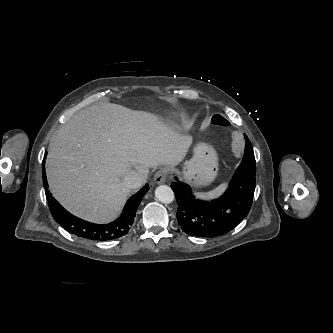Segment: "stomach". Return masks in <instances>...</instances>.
<instances>
[{"instance_id":"obj_1","label":"stomach","mask_w":333,"mask_h":333,"mask_svg":"<svg viewBox=\"0 0 333 333\" xmlns=\"http://www.w3.org/2000/svg\"><path fill=\"white\" fill-rule=\"evenodd\" d=\"M194 155L183 167V177L195 187L210 184L218 173V157L208 143H198L193 148Z\"/></svg>"}]
</instances>
